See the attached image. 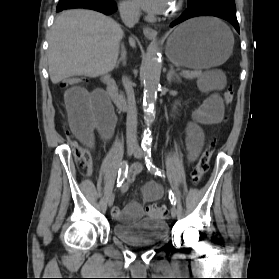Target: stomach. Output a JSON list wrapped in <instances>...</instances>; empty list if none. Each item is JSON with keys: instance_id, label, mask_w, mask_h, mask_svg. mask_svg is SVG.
<instances>
[{"instance_id": "1", "label": "stomach", "mask_w": 279, "mask_h": 279, "mask_svg": "<svg viewBox=\"0 0 279 279\" xmlns=\"http://www.w3.org/2000/svg\"><path fill=\"white\" fill-rule=\"evenodd\" d=\"M233 35L213 18H196L178 26L167 41V56L176 65L208 69L223 64L231 55Z\"/></svg>"}]
</instances>
